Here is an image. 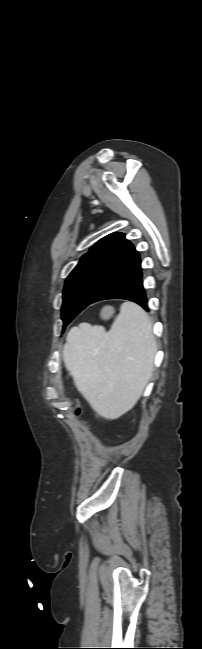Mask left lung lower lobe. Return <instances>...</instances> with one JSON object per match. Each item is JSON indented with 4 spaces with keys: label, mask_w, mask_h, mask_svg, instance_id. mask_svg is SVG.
<instances>
[{
    "label": "left lung lower lobe",
    "mask_w": 202,
    "mask_h": 649,
    "mask_svg": "<svg viewBox=\"0 0 202 649\" xmlns=\"http://www.w3.org/2000/svg\"><path fill=\"white\" fill-rule=\"evenodd\" d=\"M141 259L135 247L112 273L89 304L107 299H126L133 301L149 311L148 299L143 287ZM88 304V305H89Z\"/></svg>",
    "instance_id": "obj_1"
}]
</instances>
